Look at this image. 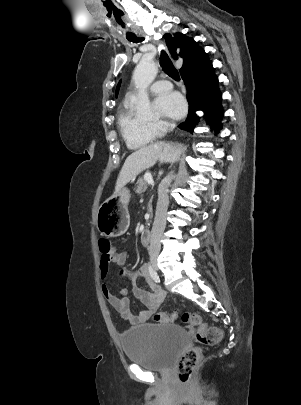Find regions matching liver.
<instances>
[{"instance_id": "obj_1", "label": "liver", "mask_w": 301, "mask_h": 405, "mask_svg": "<svg viewBox=\"0 0 301 405\" xmlns=\"http://www.w3.org/2000/svg\"><path fill=\"white\" fill-rule=\"evenodd\" d=\"M181 152L182 145L165 142H157L136 150L124 162L116 182L115 193H118L138 174L153 167L157 161L161 163L175 162L180 157Z\"/></svg>"}]
</instances>
